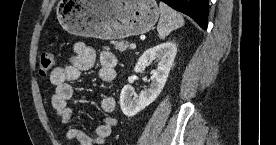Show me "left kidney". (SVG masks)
<instances>
[{
	"label": "left kidney",
	"instance_id": "left-kidney-1",
	"mask_svg": "<svg viewBox=\"0 0 276 145\" xmlns=\"http://www.w3.org/2000/svg\"><path fill=\"white\" fill-rule=\"evenodd\" d=\"M177 54L173 42H165L147 49L135 65L136 73L144 72L153 60L158 61L157 68L152 71L151 84L148 89L136 95L131 85H125L120 94L121 110L127 117H133L156 100L167 81L170 69Z\"/></svg>",
	"mask_w": 276,
	"mask_h": 145
}]
</instances>
